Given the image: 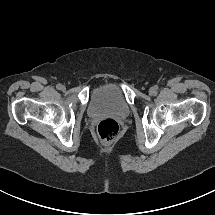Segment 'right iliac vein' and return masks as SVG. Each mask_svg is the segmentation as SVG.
<instances>
[{
  "label": "right iliac vein",
  "instance_id": "1",
  "mask_svg": "<svg viewBox=\"0 0 215 215\" xmlns=\"http://www.w3.org/2000/svg\"><path fill=\"white\" fill-rule=\"evenodd\" d=\"M65 89V86L62 85L60 90L64 91Z\"/></svg>",
  "mask_w": 215,
  "mask_h": 215
}]
</instances>
